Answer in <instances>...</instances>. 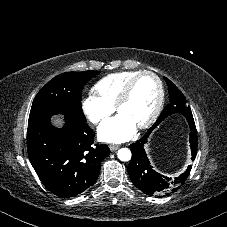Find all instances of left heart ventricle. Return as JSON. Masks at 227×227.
Wrapping results in <instances>:
<instances>
[{"instance_id":"1","label":"left heart ventricle","mask_w":227,"mask_h":227,"mask_svg":"<svg viewBox=\"0 0 227 227\" xmlns=\"http://www.w3.org/2000/svg\"><path fill=\"white\" fill-rule=\"evenodd\" d=\"M158 98L156 81L148 75L140 77L130 99L121 105L119 114L130 119L135 126L145 122L152 114Z\"/></svg>"}]
</instances>
